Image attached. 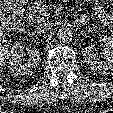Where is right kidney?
<instances>
[{
    "instance_id": "1",
    "label": "right kidney",
    "mask_w": 113,
    "mask_h": 113,
    "mask_svg": "<svg viewBox=\"0 0 113 113\" xmlns=\"http://www.w3.org/2000/svg\"><path fill=\"white\" fill-rule=\"evenodd\" d=\"M11 55L9 58L10 71L14 76H23L32 74L37 67L40 53L37 49L28 51L30 56L27 63H22L24 56V47L21 42H16L11 48Z\"/></svg>"
}]
</instances>
